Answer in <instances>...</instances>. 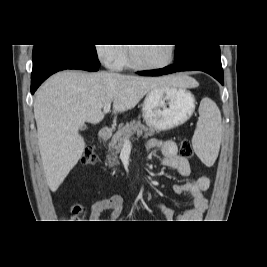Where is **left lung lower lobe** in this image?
Returning <instances> with one entry per match:
<instances>
[{
	"instance_id": "0a47b994",
	"label": "left lung lower lobe",
	"mask_w": 267,
	"mask_h": 267,
	"mask_svg": "<svg viewBox=\"0 0 267 267\" xmlns=\"http://www.w3.org/2000/svg\"><path fill=\"white\" fill-rule=\"evenodd\" d=\"M203 71L222 85L223 81V69L221 65V53L219 45H205L192 51L188 56L180 63L167 66L161 69L139 71L140 75L146 76H161L171 74L180 71Z\"/></svg>"
}]
</instances>
